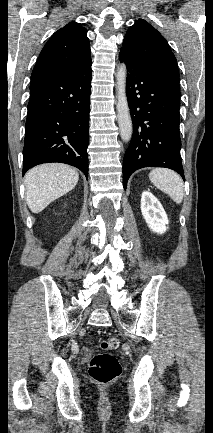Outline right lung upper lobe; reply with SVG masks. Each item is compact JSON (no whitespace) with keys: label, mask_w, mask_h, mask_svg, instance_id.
I'll use <instances>...</instances> for the list:
<instances>
[{"label":"right lung upper lobe","mask_w":213,"mask_h":433,"mask_svg":"<svg viewBox=\"0 0 213 433\" xmlns=\"http://www.w3.org/2000/svg\"><path fill=\"white\" fill-rule=\"evenodd\" d=\"M87 30L70 22L56 31L42 49L32 71L35 76L73 73L91 62Z\"/></svg>","instance_id":"right-lung-upper-lobe-1"}]
</instances>
